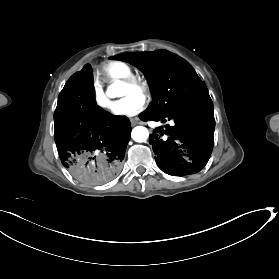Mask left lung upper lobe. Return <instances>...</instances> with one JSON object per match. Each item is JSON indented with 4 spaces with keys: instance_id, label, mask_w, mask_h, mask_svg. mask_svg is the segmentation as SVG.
I'll return each instance as SVG.
<instances>
[{
    "instance_id": "left-lung-upper-lobe-1",
    "label": "left lung upper lobe",
    "mask_w": 279,
    "mask_h": 279,
    "mask_svg": "<svg viewBox=\"0 0 279 279\" xmlns=\"http://www.w3.org/2000/svg\"><path fill=\"white\" fill-rule=\"evenodd\" d=\"M110 59L128 62L144 73L153 95L145 113L165 115L209 96L195 70L166 51L123 53Z\"/></svg>"
}]
</instances>
